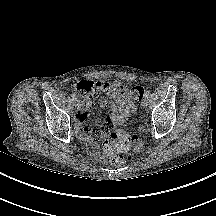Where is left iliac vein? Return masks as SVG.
<instances>
[{"instance_id": "1", "label": "left iliac vein", "mask_w": 216, "mask_h": 216, "mask_svg": "<svg viewBox=\"0 0 216 216\" xmlns=\"http://www.w3.org/2000/svg\"><path fill=\"white\" fill-rule=\"evenodd\" d=\"M148 103H149V100L147 97H145L142 101V106L146 107L148 105Z\"/></svg>"}]
</instances>
